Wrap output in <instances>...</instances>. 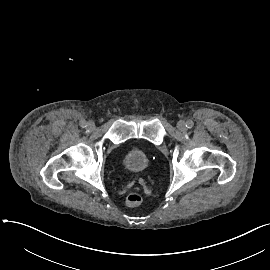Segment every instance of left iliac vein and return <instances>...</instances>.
<instances>
[{"label":"left iliac vein","instance_id":"obj_1","mask_svg":"<svg viewBox=\"0 0 270 270\" xmlns=\"http://www.w3.org/2000/svg\"><path fill=\"white\" fill-rule=\"evenodd\" d=\"M177 127L180 131H186L187 127H186V123L184 121H179L177 124Z\"/></svg>","mask_w":270,"mask_h":270}]
</instances>
